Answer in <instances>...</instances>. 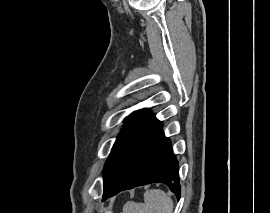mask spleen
<instances>
[{
    "label": "spleen",
    "instance_id": "spleen-1",
    "mask_svg": "<svg viewBox=\"0 0 270 213\" xmlns=\"http://www.w3.org/2000/svg\"><path fill=\"white\" fill-rule=\"evenodd\" d=\"M173 201L160 189L146 191L144 203L129 202L124 205V213H172Z\"/></svg>",
    "mask_w": 270,
    "mask_h": 213
}]
</instances>
